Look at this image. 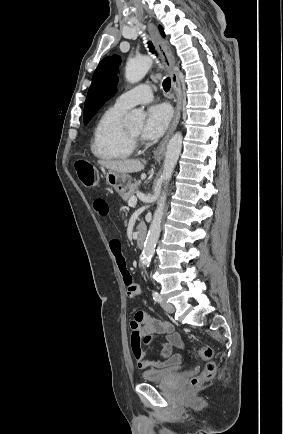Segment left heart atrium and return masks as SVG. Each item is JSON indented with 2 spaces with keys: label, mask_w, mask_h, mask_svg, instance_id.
Returning <instances> with one entry per match:
<instances>
[{
  "label": "left heart atrium",
  "mask_w": 283,
  "mask_h": 434,
  "mask_svg": "<svg viewBox=\"0 0 283 434\" xmlns=\"http://www.w3.org/2000/svg\"><path fill=\"white\" fill-rule=\"evenodd\" d=\"M171 109L166 104H155L149 107L141 130L147 140H156L166 131L171 120Z\"/></svg>",
  "instance_id": "39dd6f15"
}]
</instances>
